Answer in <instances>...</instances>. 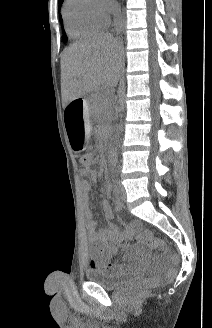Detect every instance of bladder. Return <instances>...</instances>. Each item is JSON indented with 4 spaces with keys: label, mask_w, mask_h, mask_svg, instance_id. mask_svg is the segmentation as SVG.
I'll return each mask as SVG.
<instances>
[{
    "label": "bladder",
    "mask_w": 212,
    "mask_h": 328,
    "mask_svg": "<svg viewBox=\"0 0 212 328\" xmlns=\"http://www.w3.org/2000/svg\"><path fill=\"white\" fill-rule=\"evenodd\" d=\"M137 276L136 273H115L97 269H91L86 272V277L89 281L98 283L108 290H120L134 281Z\"/></svg>",
    "instance_id": "bladder-1"
}]
</instances>
